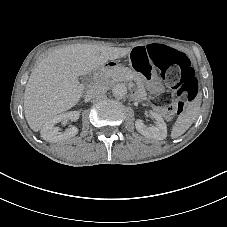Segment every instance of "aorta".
I'll return each mask as SVG.
<instances>
[{
	"label": "aorta",
	"mask_w": 227,
	"mask_h": 227,
	"mask_svg": "<svg viewBox=\"0 0 227 227\" xmlns=\"http://www.w3.org/2000/svg\"><path fill=\"white\" fill-rule=\"evenodd\" d=\"M112 94L117 99H122L127 94V88L124 84H116L112 88Z\"/></svg>",
	"instance_id": "obj_1"
}]
</instances>
